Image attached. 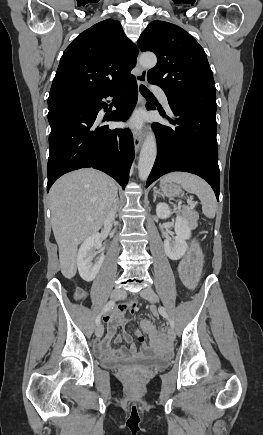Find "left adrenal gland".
<instances>
[{"label":"left adrenal gland","mask_w":263,"mask_h":435,"mask_svg":"<svg viewBox=\"0 0 263 435\" xmlns=\"http://www.w3.org/2000/svg\"><path fill=\"white\" fill-rule=\"evenodd\" d=\"M154 198H153V202H155L156 201V198H157V196H159L160 195V193L156 190V188L154 189Z\"/></svg>","instance_id":"a2214340"}]
</instances>
